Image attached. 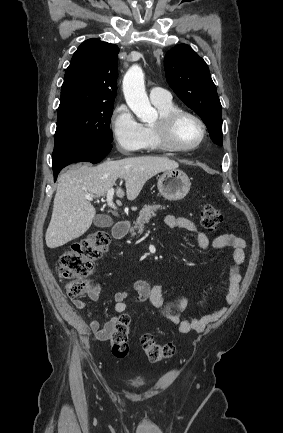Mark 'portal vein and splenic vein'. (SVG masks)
<instances>
[{
    "label": "portal vein and splenic vein",
    "instance_id": "1",
    "mask_svg": "<svg viewBox=\"0 0 283 433\" xmlns=\"http://www.w3.org/2000/svg\"><path fill=\"white\" fill-rule=\"evenodd\" d=\"M113 196H114V188H109V190H107V196H106L108 206H111V208H117V206H115L112 200ZM85 198H87V200H93L92 196H85Z\"/></svg>",
    "mask_w": 283,
    "mask_h": 433
}]
</instances>
